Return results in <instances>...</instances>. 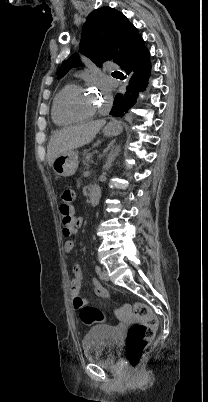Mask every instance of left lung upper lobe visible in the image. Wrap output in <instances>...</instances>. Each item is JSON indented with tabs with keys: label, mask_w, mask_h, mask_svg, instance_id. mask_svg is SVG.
I'll return each mask as SVG.
<instances>
[{
	"label": "left lung upper lobe",
	"mask_w": 208,
	"mask_h": 402,
	"mask_svg": "<svg viewBox=\"0 0 208 402\" xmlns=\"http://www.w3.org/2000/svg\"><path fill=\"white\" fill-rule=\"evenodd\" d=\"M132 24L119 11L99 8L87 17L83 25L80 51L97 66L108 61H115ZM78 55L67 59L58 71V78L63 77L71 68L79 65Z\"/></svg>",
	"instance_id": "obj_1"
}]
</instances>
